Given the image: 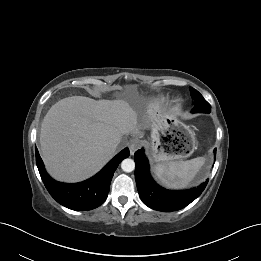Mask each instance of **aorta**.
I'll return each instance as SVG.
<instances>
[{
    "mask_svg": "<svg viewBox=\"0 0 261 261\" xmlns=\"http://www.w3.org/2000/svg\"><path fill=\"white\" fill-rule=\"evenodd\" d=\"M121 168L124 172H132L135 169V162L130 158H126L121 162Z\"/></svg>",
    "mask_w": 261,
    "mask_h": 261,
    "instance_id": "aorta-1",
    "label": "aorta"
}]
</instances>
